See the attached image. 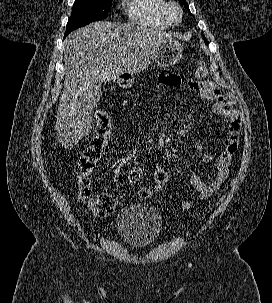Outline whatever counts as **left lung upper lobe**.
<instances>
[{"instance_id":"obj_1","label":"left lung upper lobe","mask_w":272,"mask_h":303,"mask_svg":"<svg viewBox=\"0 0 272 303\" xmlns=\"http://www.w3.org/2000/svg\"><path fill=\"white\" fill-rule=\"evenodd\" d=\"M186 7H187V9H188V4H187V2L185 1V0H180ZM189 10V9H188ZM204 40H205V42L207 43V40H206V38L204 37Z\"/></svg>"}]
</instances>
